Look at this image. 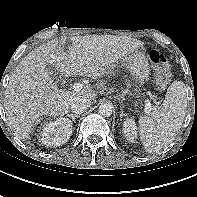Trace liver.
I'll use <instances>...</instances> for the list:
<instances>
[{"label":"liver","instance_id":"obj_1","mask_svg":"<svg viewBox=\"0 0 197 197\" xmlns=\"http://www.w3.org/2000/svg\"><path fill=\"white\" fill-rule=\"evenodd\" d=\"M64 38L49 41L29 53L16 67L6 88L4 108L9 127L26 140L33 123L42 115L53 117L68 113L77 97L96 99V91L79 92L58 89L46 71L53 65L65 77L85 75L92 79L113 73L114 63L136 52L144 43L127 36L86 35L71 39L68 53Z\"/></svg>","mask_w":197,"mask_h":197}]
</instances>
